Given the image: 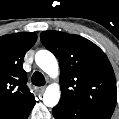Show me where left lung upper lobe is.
I'll list each match as a JSON object with an SVG mask.
<instances>
[{
	"mask_svg": "<svg viewBox=\"0 0 119 119\" xmlns=\"http://www.w3.org/2000/svg\"><path fill=\"white\" fill-rule=\"evenodd\" d=\"M42 44L59 60L60 102L79 109L113 113L117 89L113 68L105 53L78 35L48 30Z\"/></svg>",
	"mask_w": 119,
	"mask_h": 119,
	"instance_id": "left-lung-upper-lobe-1",
	"label": "left lung upper lobe"
}]
</instances>
